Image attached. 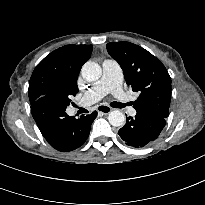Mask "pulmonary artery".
Returning <instances> with one entry per match:
<instances>
[{"mask_svg": "<svg viewBox=\"0 0 205 205\" xmlns=\"http://www.w3.org/2000/svg\"><path fill=\"white\" fill-rule=\"evenodd\" d=\"M102 77L87 90L80 101L81 106H89L107 93L114 94L131 116L136 115V110L128 104L129 98L122 90V72L119 64L114 60H105L102 64Z\"/></svg>", "mask_w": 205, "mask_h": 205, "instance_id": "pulmonary-artery-1", "label": "pulmonary artery"}]
</instances>
